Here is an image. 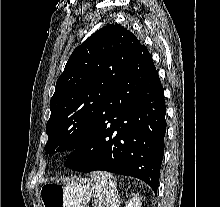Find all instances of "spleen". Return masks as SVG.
<instances>
[{
  "label": "spleen",
  "mask_w": 220,
  "mask_h": 207,
  "mask_svg": "<svg viewBox=\"0 0 220 207\" xmlns=\"http://www.w3.org/2000/svg\"><path fill=\"white\" fill-rule=\"evenodd\" d=\"M97 207H117L119 204L116 182L112 174L96 171L91 173Z\"/></svg>",
  "instance_id": "spleen-1"
}]
</instances>
